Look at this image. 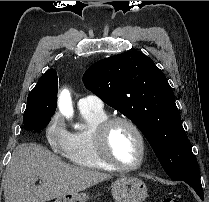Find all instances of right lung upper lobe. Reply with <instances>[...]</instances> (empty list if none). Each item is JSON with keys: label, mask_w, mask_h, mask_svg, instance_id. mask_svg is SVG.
Wrapping results in <instances>:
<instances>
[{"label": "right lung upper lobe", "mask_w": 209, "mask_h": 202, "mask_svg": "<svg viewBox=\"0 0 209 202\" xmlns=\"http://www.w3.org/2000/svg\"><path fill=\"white\" fill-rule=\"evenodd\" d=\"M52 84L56 88L55 105L57 102V91H58V77L57 72L54 69L47 70L39 79L37 85L40 84Z\"/></svg>", "instance_id": "obj_1"}]
</instances>
